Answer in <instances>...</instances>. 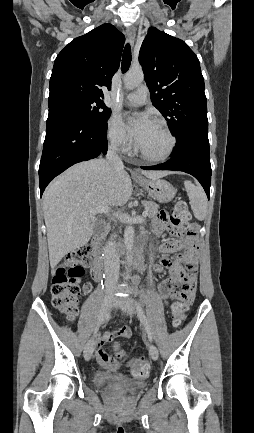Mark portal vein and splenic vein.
I'll return each mask as SVG.
<instances>
[{"label":"portal vein and splenic vein","instance_id":"portal-vein-and-splenic-vein-1","mask_svg":"<svg viewBox=\"0 0 254 433\" xmlns=\"http://www.w3.org/2000/svg\"><path fill=\"white\" fill-rule=\"evenodd\" d=\"M110 212V208L108 207V206H100V207H97V208H93V209H91L90 210V213H109ZM142 215L144 216V217H146L147 215H148V212H147V210L146 211H144L143 213H142Z\"/></svg>","mask_w":254,"mask_h":433}]
</instances>
